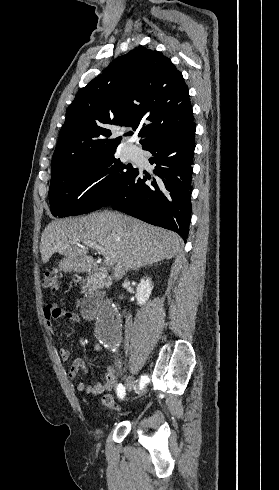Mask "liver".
<instances>
[{"label": "liver", "instance_id": "1", "mask_svg": "<svg viewBox=\"0 0 279 490\" xmlns=\"http://www.w3.org/2000/svg\"><path fill=\"white\" fill-rule=\"evenodd\" d=\"M84 242L97 244L103 254H114V276L119 280L128 270L171 260L184 248L183 240L175 232L104 210L84 218H66L48 224L40 244L43 264L57 252L82 262V272L84 260L88 258Z\"/></svg>", "mask_w": 279, "mask_h": 490}]
</instances>
